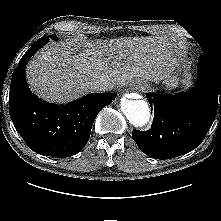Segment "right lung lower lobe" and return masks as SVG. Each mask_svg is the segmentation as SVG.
<instances>
[{
  "label": "right lung lower lobe",
  "instance_id": "right-lung-lower-lobe-1",
  "mask_svg": "<svg viewBox=\"0 0 221 221\" xmlns=\"http://www.w3.org/2000/svg\"><path fill=\"white\" fill-rule=\"evenodd\" d=\"M49 41L38 39L15 69L9 93V114L18 133L34 152L53 157H70L87 144L91 128L103 107L115 93H93L65 105L47 103L33 94L26 82L29 58Z\"/></svg>",
  "mask_w": 221,
  "mask_h": 221
}]
</instances>
